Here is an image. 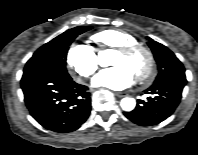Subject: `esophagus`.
<instances>
[{"label": "esophagus", "instance_id": "esophagus-1", "mask_svg": "<svg viewBox=\"0 0 198 155\" xmlns=\"http://www.w3.org/2000/svg\"><path fill=\"white\" fill-rule=\"evenodd\" d=\"M115 95H116L117 97H120V98L125 96L124 93H118V92H116Z\"/></svg>", "mask_w": 198, "mask_h": 155}]
</instances>
